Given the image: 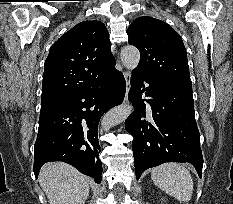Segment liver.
Wrapping results in <instances>:
<instances>
[{"mask_svg":"<svg viewBox=\"0 0 233 204\" xmlns=\"http://www.w3.org/2000/svg\"><path fill=\"white\" fill-rule=\"evenodd\" d=\"M38 181L50 204H84L89 195L87 178L66 163L45 164Z\"/></svg>","mask_w":233,"mask_h":204,"instance_id":"6515ba94","label":"liver"}]
</instances>
